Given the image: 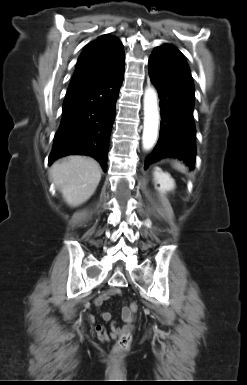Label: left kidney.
Segmentation results:
<instances>
[{
  "instance_id": "obj_1",
  "label": "left kidney",
  "mask_w": 247,
  "mask_h": 385,
  "mask_svg": "<svg viewBox=\"0 0 247 385\" xmlns=\"http://www.w3.org/2000/svg\"><path fill=\"white\" fill-rule=\"evenodd\" d=\"M154 181L155 184L160 185L157 190L162 194H165L175 188V182L170 174L163 172L159 167H155L154 169Z\"/></svg>"
}]
</instances>
